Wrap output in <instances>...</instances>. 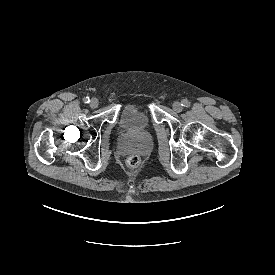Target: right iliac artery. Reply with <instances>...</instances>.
I'll return each mask as SVG.
<instances>
[{
  "label": "right iliac artery",
  "instance_id": "1",
  "mask_svg": "<svg viewBox=\"0 0 275 275\" xmlns=\"http://www.w3.org/2000/svg\"><path fill=\"white\" fill-rule=\"evenodd\" d=\"M83 101H84V103H89V102H90V99H89V97H85V98L83 99Z\"/></svg>",
  "mask_w": 275,
  "mask_h": 275
}]
</instances>
